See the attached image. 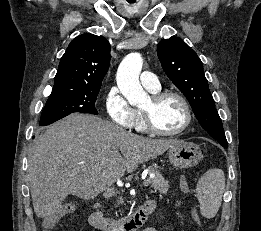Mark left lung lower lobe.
<instances>
[{"mask_svg": "<svg viewBox=\"0 0 261 231\" xmlns=\"http://www.w3.org/2000/svg\"><path fill=\"white\" fill-rule=\"evenodd\" d=\"M224 148L228 147V143H224V142H219Z\"/></svg>", "mask_w": 261, "mask_h": 231, "instance_id": "1", "label": "left lung lower lobe"}]
</instances>
